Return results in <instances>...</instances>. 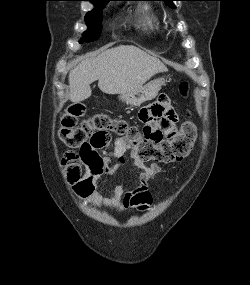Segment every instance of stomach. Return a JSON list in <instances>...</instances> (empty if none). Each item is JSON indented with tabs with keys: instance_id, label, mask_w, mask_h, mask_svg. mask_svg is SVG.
<instances>
[{
	"instance_id": "stomach-1",
	"label": "stomach",
	"mask_w": 250,
	"mask_h": 285,
	"mask_svg": "<svg viewBox=\"0 0 250 285\" xmlns=\"http://www.w3.org/2000/svg\"><path fill=\"white\" fill-rule=\"evenodd\" d=\"M163 84L164 79L162 78L150 81L138 89L120 94L119 99L127 105L140 106L146 101L154 99Z\"/></svg>"
}]
</instances>
